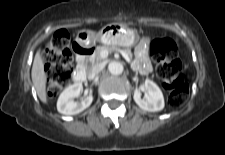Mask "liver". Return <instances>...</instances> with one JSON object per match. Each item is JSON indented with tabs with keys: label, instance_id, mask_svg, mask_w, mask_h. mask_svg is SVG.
Listing matches in <instances>:
<instances>
[{
	"label": "liver",
	"instance_id": "obj_1",
	"mask_svg": "<svg viewBox=\"0 0 225 155\" xmlns=\"http://www.w3.org/2000/svg\"><path fill=\"white\" fill-rule=\"evenodd\" d=\"M80 32H87L94 34L93 31L81 30ZM32 82L37 92L39 99L43 103H47V93H46V81L47 76L44 71V63L41 58V53L38 51L34 57L32 71H31Z\"/></svg>",
	"mask_w": 225,
	"mask_h": 155
}]
</instances>
